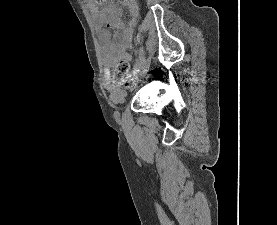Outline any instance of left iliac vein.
<instances>
[{"mask_svg": "<svg viewBox=\"0 0 277 225\" xmlns=\"http://www.w3.org/2000/svg\"><path fill=\"white\" fill-rule=\"evenodd\" d=\"M149 65H150V58H147L144 61L142 71L138 74V78L142 77L148 71Z\"/></svg>", "mask_w": 277, "mask_h": 225, "instance_id": "obj_1", "label": "left iliac vein"}]
</instances>
